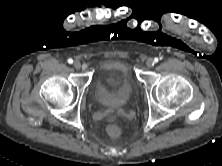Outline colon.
<instances>
[{
    "mask_svg": "<svg viewBox=\"0 0 222 166\" xmlns=\"http://www.w3.org/2000/svg\"><path fill=\"white\" fill-rule=\"evenodd\" d=\"M107 133L113 138L119 137L122 133V127L118 123H111L107 127Z\"/></svg>",
    "mask_w": 222,
    "mask_h": 166,
    "instance_id": "obj_1",
    "label": "colon"
}]
</instances>
